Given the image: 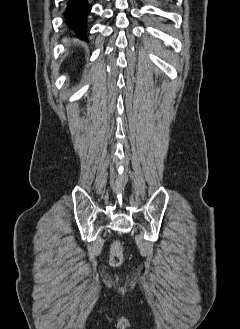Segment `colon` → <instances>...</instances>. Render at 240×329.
Wrapping results in <instances>:
<instances>
[{"label":"colon","mask_w":240,"mask_h":329,"mask_svg":"<svg viewBox=\"0 0 240 329\" xmlns=\"http://www.w3.org/2000/svg\"><path fill=\"white\" fill-rule=\"evenodd\" d=\"M123 263V252L120 241L113 242L110 251V264L113 267H120Z\"/></svg>","instance_id":"5ec220e1"}]
</instances>
